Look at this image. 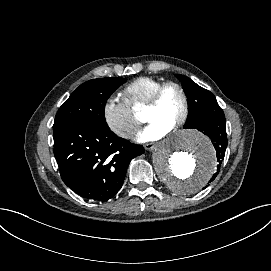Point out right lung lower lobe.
I'll list each match as a JSON object with an SVG mask.
<instances>
[{
	"instance_id": "1",
	"label": "right lung lower lobe",
	"mask_w": 271,
	"mask_h": 271,
	"mask_svg": "<svg viewBox=\"0 0 271 271\" xmlns=\"http://www.w3.org/2000/svg\"><path fill=\"white\" fill-rule=\"evenodd\" d=\"M144 148L107 126L77 122L54 130V155L63 182L87 200L107 201L121 189L130 161Z\"/></svg>"
}]
</instances>
